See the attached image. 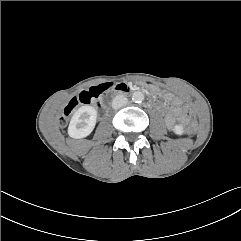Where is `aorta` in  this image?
Masks as SVG:
<instances>
[{
    "label": "aorta",
    "instance_id": "1",
    "mask_svg": "<svg viewBox=\"0 0 241 241\" xmlns=\"http://www.w3.org/2000/svg\"><path fill=\"white\" fill-rule=\"evenodd\" d=\"M132 100L136 103H140L144 100V94L141 91H135L132 95Z\"/></svg>",
    "mask_w": 241,
    "mask_h": 241
}]
</instances>
